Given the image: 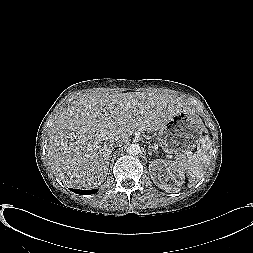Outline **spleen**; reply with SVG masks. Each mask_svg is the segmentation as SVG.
<instances>
[{
    "label": "spleen",
    "mask_w": 253,
    "mask_h": 253,
    "mask_svg": "<svg viewBox=\"0 0 253 253\" xmlns=\"http://www.w3.org/2000/svg\"><path fill=\"white\" fill-rule=\"evenodd\" d=\"M204 126V125H203ZM205 131V127H204ZM212 142L208 134L202 137L197 151L187 157L181 156L172 162L179 172H186L190 182L200 180L211 161Z\"/></svg>",
    "instance_id": "obj_1"
}]
</instances>
